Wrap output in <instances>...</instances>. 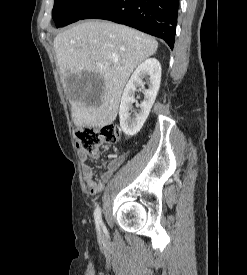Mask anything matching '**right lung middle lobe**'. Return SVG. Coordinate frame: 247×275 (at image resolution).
Returning a JSON list of instances; mask_svg holds the SVG:
<instances>
[{"instance_id": "right-lung-middle-lobe-1", "label": "right lung middle lobe", "mask_w": 247, "mask_h": 275, "mask_svg": "<svg viewBox=\"0 0 247 275\" xmlns=\"http://www.w3.org/2000/svg\"><path fill=\"white\" fill-rule=\"evenodd\" d=\"M100 0H55L52 17L58 27L80 20L83 14Z\"/></svg>"}]
</instances>
